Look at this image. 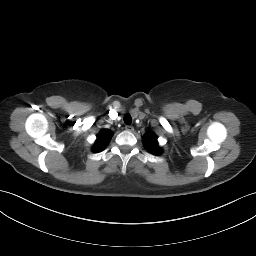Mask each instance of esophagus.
<instances>
[{
	"mask_svg": "<svg viewBox=\"0 0 256 256\" xmlns=\"http://www.w3.org/2000/svg\"><path fill=\"white\" fill-rule=\"evenodd\" d=\"M125 129H126L127 131H129V132H133V131H134V128H133V126H131V125H127V126L125 127Z\"/></svg>",
	"mask_w": 256,
	"mask_h": 256,
	"instance_id": "34e87169",
	"label": "esophagus"
}]
</instances>
